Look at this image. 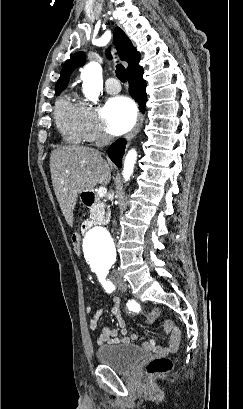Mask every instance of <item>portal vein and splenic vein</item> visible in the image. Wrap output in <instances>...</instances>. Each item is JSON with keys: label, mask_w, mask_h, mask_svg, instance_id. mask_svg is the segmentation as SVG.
Returning a JSON list of instances; mask_svg holds the SVG:
<instances>
[{"label": "portal vein and splenic vein", "mask_w": 243, "mask_h": 409, "mask_svg": "<svg viewBox=\"0 0 243 409\" xmlns=\"http://www.w3.org/2000/svg\"><path fill=\"white\" fill-rule=\"evenodd\" d=\"M107 193V189L105 187H100L97 194L99 197H104Z\"/></svg>", "instance_id": "1"}]
</instances>
